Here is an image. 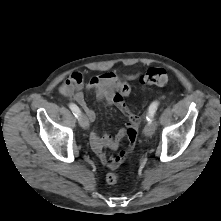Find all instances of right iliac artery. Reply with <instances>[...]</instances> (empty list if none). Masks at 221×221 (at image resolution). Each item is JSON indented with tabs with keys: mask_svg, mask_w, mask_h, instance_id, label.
<instances>
[{
	"mask_svg": "<svg viewBox=\"0 0 221 221\" xmlns=\"http://www.w3.org/2000/svg\"><path fill=\"white\" fill-rule=\"evenodd\" d=\"M69 108L72 110L75 117L78 118L80 116L81 111H80V109L78 108V106L76 104L70 103Z\"/></svg>",
	"mask_w": 221,
	"mask_h": 221,
	"instance_id": "1",
	"label": "right iliac artery"
}]
</instances>
